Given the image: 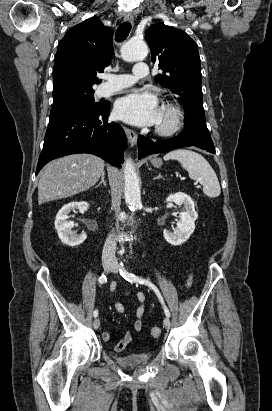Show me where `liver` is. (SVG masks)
Listing matches in <instances>:
<instances>
[{
	"label": "liver",
	"mask_w": 272,
	"mask_h": 411,
	"mask_svg": "<svg viewBox=\"0 0 272 411\" xmlns=\"http://www.w3.org/2000/svg\"><path fill=\"white\" fill-rule=\"evenodd\" d=\"M104 166L101 158L91 154H72L50 162L40 172L39 205L89 189L99 180Z\"/></svg>",
	"instance_id": "liver-1"
}]
</instances>
